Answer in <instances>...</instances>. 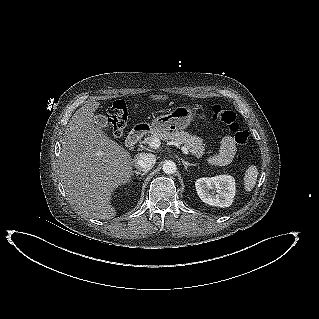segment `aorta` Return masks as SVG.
I'll use <instances>...</instances> for the list:
<instances>
[{
    "label": "aorta",
    "mask_w": 319,
    "mask_h": 319,
    "mask_svg": "<svg viewBox=\"0 0 319 319\" xmlns=\"http://www.w3.org/2000/svg\"><path fill=\"white\" fill-rule=\"evenodd\" d=\"M177 170V167H176V164L171 161V160H168V161H165L164 164H163V171L166 173V174H173L175 173Z\"/></svg>",
    "instance_id": "aorta-1"
}]
</instances>
